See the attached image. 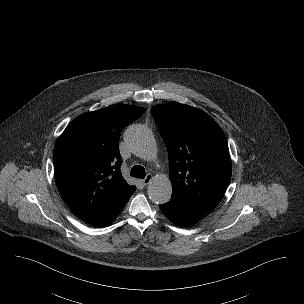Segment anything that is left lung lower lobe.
I'll return each mask as SVG.
<instances>
[{
	"instance_id": "left-lung-lower-lobe-1",
	"label": "left lung lower lobe",
	"mask_w": 304,
	"mask_h": 304,
	"mask_svg": "<svg viewBox=\"0 0 304 304\" xmlns=\"http://www.w3.org/2000/svg\"><path fill=\"white\" fill-rule=\"evenodd\" d=\"M163 214L174 224L190 226L202 220L209 214V210L203 209L177 197H172L168 203L159 206Z\"/></svg>"
}]
</instances>
